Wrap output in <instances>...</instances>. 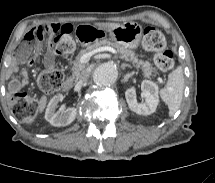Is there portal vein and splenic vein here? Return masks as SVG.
<instances>
[{
	"mask_svg": "<svg viewBox=\"0 0 215 183\" xmlns=\"http://www.w3.org/2000/svg\"><path fill=\"white\" fill-rule=\"evenodd\" d=\"M103 51H109V52L114 53V54L117 53V51L114 48L110 47V46H102V47H98V48L94 49L91 52H88V53L84 54L81 57V62L82 63H87L90 60V57L92 55H94L95 53H98V52H103Z\"/></svg>",
	"mask_w": 215,
	"mask_h": 183,
	"instance_id": "1",
	"label": "portal vein and splenic vein"
}]
</instances>
